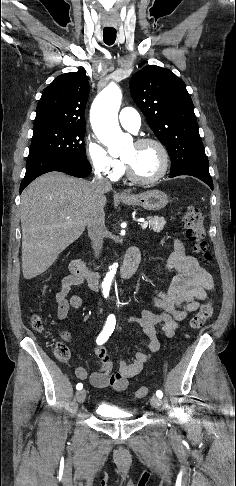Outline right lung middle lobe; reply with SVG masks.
Segmentation results:
<instances>
[{
	"instance_id": "1",
	"label": "right lung middle lobe",
	"mask_w": 236,
	"mask_h": 486,
	"mask_svg": "<svg viewBox=\"0 0 236 486\" xmlns=\"http://www.w3.org/2000/svg\"><path fill=\"white\" fill-rule=\"evenodd\" d=\"M84 136V127H34L28 159L50 156L87 160Z\"/></svg>"
}]
</instances>
